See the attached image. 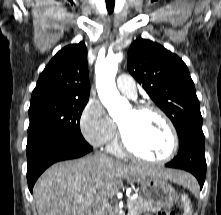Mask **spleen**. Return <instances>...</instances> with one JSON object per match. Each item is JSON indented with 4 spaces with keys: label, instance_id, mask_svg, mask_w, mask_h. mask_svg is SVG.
Here are the masks:
<instances>
[{
    "label": "spleen",
    "instance_id": "obj_1",
    "mask_svg": "<svg viewBox=\"0 0 221 215\" xmlns=\"http://www.w3.org/2000/svg\"><path fill=\"white\" fill-rule=\"evenodd\" d=\"M189 186V184L187 185ZM182 203L184 206V214L183 215H192V206L190 204V201L188 200L187 196L182 197Z\"/></svg>",
    "mask_w": 221,
    "mask_h": 215
}]
</instances>
